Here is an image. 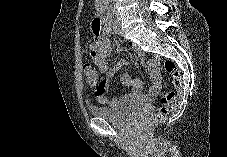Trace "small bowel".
<instances>
[{
    "label": "small bowel",
    "instance_id": "1",
    "mask_svg": "<svg viewBox=\"0 0 227 157\" xmlns=\"http://www.w3.org/2000/svg\"><path fill=\"white\" fill-rule=\"evenodd\" d=\"M130 46L135 50L139 49L133 43ZM87 52L91 55L94 65L101 72L98 83L93 86V97L98 103L107 104L111 107H122L134 101L152 100L159 93L161 77L157 68V57H153L147 62L149 78L152 81V86L148 93L143 94V84L139 79L125 74L121 77V83L125 86L132 87L133 93H127L119 98H109L106 92L109 82L115 75V70L108 59L111 52V45L106 34H99L97 39L87 47Z\"/></svg>",
    "mask_w": 227,
    "mask_h": 157
}]
</instances>
